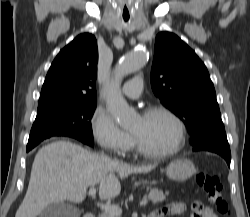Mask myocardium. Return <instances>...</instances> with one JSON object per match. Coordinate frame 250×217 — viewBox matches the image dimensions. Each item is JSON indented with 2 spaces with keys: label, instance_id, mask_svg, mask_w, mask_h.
<instances>
[{
  "label": "myocardium",
  "instance_id": "1",
  "mask_svg": "<svg viewBox=\"0 0 250 217\" xmlns=\"http://www.w3.org/2000/svg\"><path fill=\"white\" fill-rule=\"evenodd\" d=\"M156 113H161L166 115L167 117H169L175 124L176 128H177V141L175 143V145L166 151H162V152H156V151H152L148 148H146L145 146H143L139 140L135 137V135H132L133 141H134V145L136 147V150L147 157L150 158H155V159H162V158H167V157H171L173 155H175L176 153H178L183 146L185 145L186 142V126L184 124V122L182 121V119L175 113L173 112L171 109H169L166 106L163 105H153L148 107L142 114L143 117L152 115V114H156Z\"/></svg>",
  "mask_w": 250,
  "mask_h": 217
}]
</instances>
